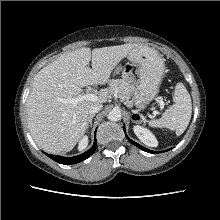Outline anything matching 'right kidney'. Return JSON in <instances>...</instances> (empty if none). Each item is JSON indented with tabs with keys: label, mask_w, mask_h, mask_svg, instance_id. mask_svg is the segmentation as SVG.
<instances>
[{
	"label": "right kidney",
	"mask_w": 220,
	"mask_h": 220,
	"mask_svg": "<svg viewBox=\"0 0 220 220\" xmlns=\"http://www.w3.org/2000/svg\"><path fill=\"white\" fill-rule=\"evenodd\" d=\"M88 145V136H84L79 142L78 149L83 150Z\"/></svg>",
	"instance_id": "ca27d5eb"
}]
</instances>
